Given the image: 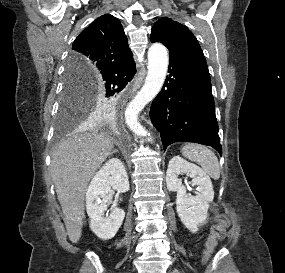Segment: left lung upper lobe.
<instances>
[{"label":"left lung upper lobe","mask_w":285,"mask_h":273,"mask_svg":"<svg viewBox=\"0 0 285 273\" xmlns=\"http://www.w3.org/2000/svg\"><path fill=\"white\" fill-rule=\"evenodd\" d=\"M151 41L163 43L171 53H176L190 63L208 70L203 51L192 32L171 18H161L154 23Z\"/></svg>","instance_id":"left-lung-upper-lobe-1"}]
</instances>
